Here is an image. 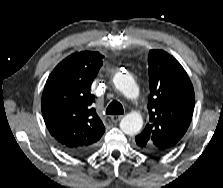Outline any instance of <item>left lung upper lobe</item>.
<instances>
[{
	"label": "left lung upper lobe",
	"instance_id": "5c2ea615",
	"mask_svg": "<svg viewBox=\"0 0 223 188\" xmlns=\"http://www.w3.org/2000/svg\"><path fill=\"white\" fill-rule=\"evenodd\" d=\"M148 63L150 119L135 140L145 152L162 155L174 148L189 127L194 89L184 68L167 52L150 50Z\"/></svg>",
	"mask_w": 223,
	"mask_h": 188
}]
</instances>
